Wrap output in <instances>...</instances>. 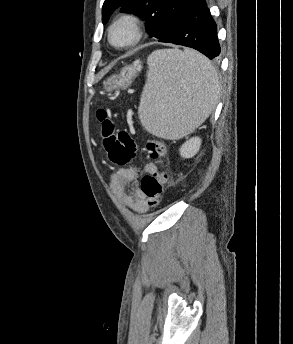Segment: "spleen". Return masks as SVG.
<instances>
[{
  "label": "spleen",
  "mask_w": 293,
  "mask_h": 344,
  "mask_svg": "<svg viewBox=\"0 0 293 344\" xmlns=\"http://www.w3.org/2000/svg\"><path fill=\"white\" fill-rule=\"evenodd\" d=\"M147 81L139 118L154 136L179 139L201 125L215 108L220 82L216 69L200 53L160 49L147 59Z\"/></svg>",
  "instance_id": "1"
}]
</instances>
